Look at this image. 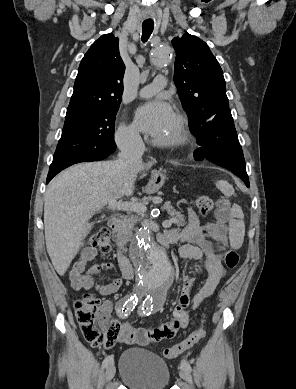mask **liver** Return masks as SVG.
Masks as SVG:
<instances>
[{
    "label": "liver",
    "instance_id": "1",
    "mask_svg": "<svg viewBox=\"0 0 296 389\" xmlns=\"http://www.w3.org/2000/svg\"><path fill=\"white\" fill-rule=\"evenodd\" d=\"M145 164L124 166L119 160L81 163L55 177L44 198L46 248L52 264L63 276L81 241L92 228L94 213L123 196H131Z\"/></svg>",
    "mask_w": 296,
    "mask_h": 389
}]
</instances>
